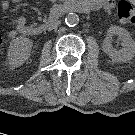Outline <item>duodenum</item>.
I'll use <instances>...</instances> for the list:
<instances>
[{"label": "duodenum", "mask_w": 135, "mask_h": 135, "mask_svg": "<svg viewBox=\"0 0 135 135\" xmlns=\"http://www.w3.org/2000/svg\"><path fill=\"white\" fill-rule=\"evenodd\" d=\"M63 9L66 12L71 11H79L81 13H87L91 8L89 4H86L82 0H66L63 4ZM44 31V27L42 25L29 28L26 30V34L28 35H40Z\"/></svg>", "instance_id": "1"}]
</instances>
